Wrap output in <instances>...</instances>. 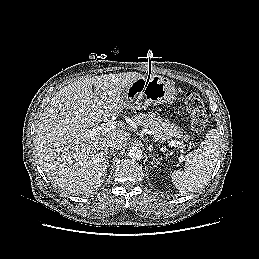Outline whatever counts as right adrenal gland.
I'll use <instances>...</instances> for the list:
<instances>
[{
	"mask_svg": "<svg viewBox=\"0 0 259 259\" xmlns=\"http://www.w3.org/2000/svg\"><path fill=\"white\" fill-rule=\"evenodd\" d=\"M112 154H113V152L109 153L108 159L111 157ZM108 166H109V160H108Z\"/></svg>",
	"mask_w": 259,
	"mask_h": 259,
	"instance_id": "2a0ac1e0",
	"label": "right adrenal gland"
}]
</instances>
